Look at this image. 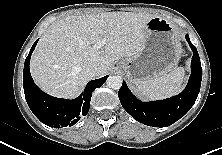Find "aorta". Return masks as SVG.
<instances>
[{
  "label": "aorta",
  "instance_id": "obj_1",
  "mask_svg": "<svg viewBox=\"0 0 222 155\" xmlns=\"http://www.w3.org/2000/svg\"><path fill=\"white\" fill-rule=\"evenodd\" d=\"M106 84L109 88L117 90L122 86V79L120 76H109Z\"/></svg>",
  "mask_w": 222,
  "mask_h": 155
}]
</instances>
